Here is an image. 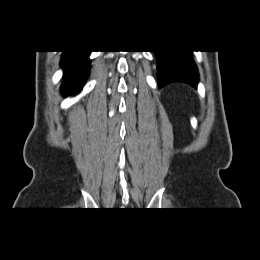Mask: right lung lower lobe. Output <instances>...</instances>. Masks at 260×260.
<instances>
[{
    "label": "right lung lower lobe",
    "instance_id": "98d812e1",
    "mask_svg": "<svg viewBox=\"0 0 260 260\" xmlns=\"http://www.w3.org/2000/svg\"><path fill=\"white\" fill-rule=\"evenodd\" d=\"M90 51H64L61 66L64 68L65 81L63 92L65 95L78 93L88 77Z\"/></svg>",
    "mask_w": 260,
    "mask_h": 260
}]
</instances>
